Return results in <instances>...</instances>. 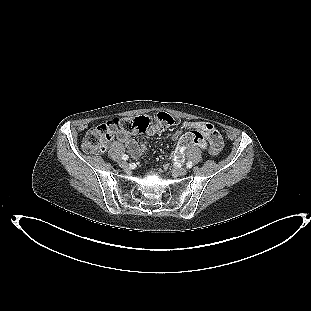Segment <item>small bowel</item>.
<instances>
[{
	"label": "small bowel",
	"instance_id": "obj_1",
	"mask_svg": "<svg viewBox=\"0 0 311 311\" xmlns=\"http://www.w3.org/2000/svg\"><path fill=\"white\" fill-rule=\"evenodd\" d=\"M184 129H198L202 131L205 135V137L208 140V151L212 155H217L220 153L222 147H223V141L220 133L215 128V126L208 122H186L183 124ZM160 129L158 127H152L147 131L148 135H154L157 131ZM181 132L177 131L173 134L174 140H179V142L182 140ZM119 140L123 142L131 155L136 158L143 154L145 151V146L141 143H138L135 141L129 134L127 133H120L118 136ZM185 148H177L176 149V155L181 156L184 152Z\"/></svg>",
	"mask_w": 311,
	"mask_h": 311
}]
</instances>
